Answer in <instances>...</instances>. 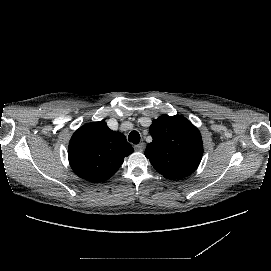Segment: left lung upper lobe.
Returning <instances> with one entry per match:
<instances>
[{
    "instance_id": "left-lung-upper-lobe-1",
    "label": "left lung upper lobe",
    "mask_w": 271,
    "mask_h": 271,
    "mask_svg": "<svg viewBox=\"0 0 271 271\" xmlns=\"http://www.w3.org/2000/svg\"><path fill=\"white\" fill-rule=\"evenodd\" d=\"M153 141L145 150L156 171L167 179L192 174L200 164L203 143L199 130L185 117L162 115L150 126Z\"/></svg>"
}]
</instances>
